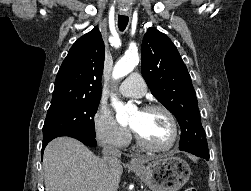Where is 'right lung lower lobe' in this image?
<instances>
[{"instance_id": "98d812e1", "label": "right lung lower lobe", "mask_w": 251, "mask_h": 191, "mask_svg": "<svg viewBox=\"0 0 251 191\" xmlns=\"http://www.w3.org/2000/svg\"><path fill=\"white\" fill-rule=\"evenodd\" d=\"M60 136L73 137V138L78 139L79 141H81L82 143H84L85 145H88V146H96V144H97V142L95 140V136H89V135H86V134H83V133H80V132H74V131H68V132L58 134L55 137H53L52 139H54L56 137H60ZM52 139L43 142L42 151H41L42 155H43V151H44L46 145Z\"/></svg>"}]
</instances>
